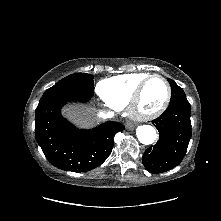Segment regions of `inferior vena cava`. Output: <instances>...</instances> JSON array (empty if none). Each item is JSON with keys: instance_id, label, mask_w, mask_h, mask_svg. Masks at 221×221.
I'll return each mask as SVG.
<instances>
[{"instance_id": "602c4592", "label": "inferior vena cava", "mask_w": 221, "mask_h": 221, "mask_svg": "<svg viewBox=\"0 0 221 221\" xmlns=\"http://www.w3.org/2000/svg\"><path fill=\"white\" fill-rule=\"evenodd\" d=\"M98 116H99V118L107 119V118H112L113 113L112 112L99 111Z\"/></svg>"}]
</instances>
